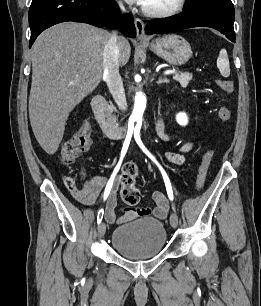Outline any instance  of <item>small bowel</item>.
<instances>
[{"label": "small bowel", "mask_w": 261, "mask_h": 306, "mask_svg": "<svg viewBox=\"0 0 261 306\" xmlns=\"http://www.w3.org/2000/svg\"><path fill=\"white\" fill-rule=\"evenodd\" d=\"M157 132L159 136L168 140V135L165 133L164 124L162 120L157 123ZM192 148V143L187 142L179 147L175 151H169L166 153V158L173 164L182 165L185 162L184 154ZM110 180V179H109ZM109 180L105 177H95L85 182L81 187H74L71 189V195L79 203L85 206H91L95 203L99 193L106 186ZM114 180V179H113ZM113 185V183H112ZM109 194L107 195V203L105 206V219L110 224H116L119 222H125L128 220L136 219L138 217L154 215L158 219L166 218L169 211V204L166 196L162 192L153 193V199L156 203L154 208H138V209H125L121 216L117 215V197H116V184L111 187ZM106 193V192H105ZM104 193V195H105Z\"/></svg>", "instance_id": "obj_1"}]
</instances>
